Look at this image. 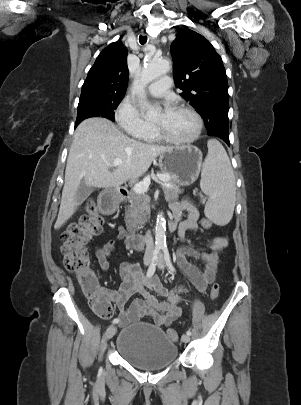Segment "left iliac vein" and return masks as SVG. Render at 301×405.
Wrapping results in <instances>:
<instances>
[{
  "label": "left iliac vein",
  "instance_id": "left-iliac-vein-1",
  "mask_svg": "<svg viewBox=\"0 0 301 405\" xmlns=\"http://www.w3.org/2000/svg\"><path fill=\"white\" fill-rule=\"evenodd\" d=\"M157 266L159 269H164L165 267V262L162 254H159ZM181 340L184 343H188L190 341V336L188 334H183Z\"/></svg>",
  "mask_w": 301,
  "mask_h": 405
}]
</instances>
